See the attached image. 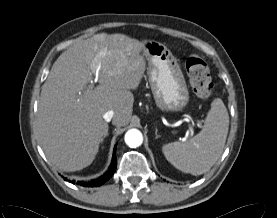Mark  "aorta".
Segmentation results:
<instances>
[{
	"mask_svg": "<svg viewBox=\"0 0 277 218\" xmlns=\"http://www.w3.org/2000/svg\"><path fill=\"white\" fill-rule=\"evenodd\" d=\"M143 142L142 133L138 129H130L125 134V143L131 147H139Z\"/></svg>",
	"mask_w": 277,
	"mask_h": 218,
	"instance_id": "1",
	"label": "aorta"
}]
</instances>
